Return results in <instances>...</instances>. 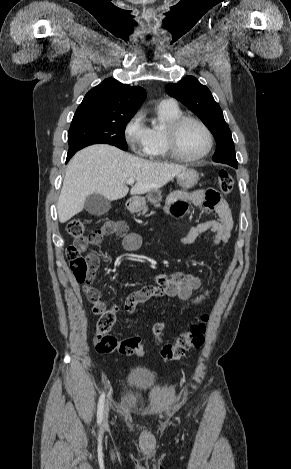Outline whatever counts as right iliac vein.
I'll use <instances>...</instances> for the list:
<instances>
[{"mask_svg": "<svg viewBox=\"0 0 291 469\" xmlns=\"http://www.w3.org/2000/svg\"><path fill=\"white\" fill-rule=\"evenodd\" d=\"M108 412H109V408H108V406H106L105 410H104V414H103V423L104 424L107 422Z\"/></svg>", "mask_w": 291, "mask_h": 469, "instance_id": "1", "label": "right iliac vein"}]
</instances>
